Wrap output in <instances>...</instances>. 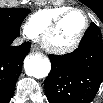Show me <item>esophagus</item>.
Wrapping results in <instances>:
<instances>
[{"label": "esophagus", "instance_id": "34e87169", "mask_svg": "<svg viewBox=\"0 0 103 103\" xmlns=\"http://www.w3.org/2000/svg\"><path fill=\"white\" fill-rule=\"evenodd\" d=\"M38 48L36 47V45H32V51H37Z\"/></svg>", "mask_w": 103, "mask_h": 103}]
</instances>
